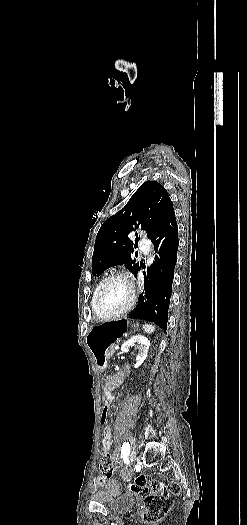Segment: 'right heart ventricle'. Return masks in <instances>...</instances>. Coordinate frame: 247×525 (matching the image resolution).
I'll use <instances>...</instances> for the list:
<instances>
[{"label":"right heart ventricle","mask_w":247,"mask_h":525,"mask_svg":"<svg viewBox=\"0 0 247 525\" xmlns=\"http://www.w3.org/2000/svg\"><path fill=\"white\" fill-rule=\"evenodd\" d=\"M90 306H91V309H92V314H93V317H105V316H102L100 314H98L96 311H95V308H94V300H93V294L90 298Z\"/></svg>","instance_id":"1"}]
</instances>
